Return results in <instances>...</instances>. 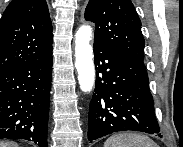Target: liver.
Returning a JSON list of instances; mask_svg holds the SVG:
<instances>
[{
  "label": "liver",
  "mask_w": 183,
  "mask_h": 147,
  "mask_svg": "<svg viewBox=\"0 0 183 147\" xmlns=\"http://www.w3.org/2000/svg\"><path fill=\"white\" fill-rule=\"evenodd\" d=\"M0 147H18V144L9 141H0Z\"/></svg>",
  "instance_id": "1"
}]
</instances>
